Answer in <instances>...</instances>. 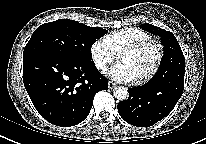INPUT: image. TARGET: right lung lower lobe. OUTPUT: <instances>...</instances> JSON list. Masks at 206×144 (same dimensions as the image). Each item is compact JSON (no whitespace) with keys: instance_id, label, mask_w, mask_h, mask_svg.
<instances>
[{"instance_id":"98d812e1","label":"right lung lower lobe","mask_w":206,"mask_h":144,"mask_svg":"<svg viewBox=\"0 0 206 144\" xmlns=\"http://www.w3.org/2000/svg\"><path fill=\"white\" fill-rule=\"evenodd\" d=\"M23 81L40 115L61 127L81 123L90 113L95 94L108 88V80L92 61L43 53L23 57Z\"/></svg>"}]
</instances>
